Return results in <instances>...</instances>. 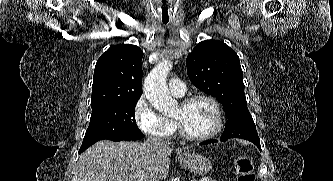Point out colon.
Masks as SVG:
<instances>
[{
    "label": "colon",
    "instance_id": "obj_1",
    "mask_svg": "<svg viewBox=\"0 0 333 181\" xmlns=\"http://www.w3.org/2000/svg\"><path fill=\"white\" fill-rule=\"evenodd\" d=\"M234 167L238 175V181H255L253 164L248 156H236L234 158Z\"/></svg>",
    "mask_w": 333,
    "mask_h": 181
}]
</instances>
